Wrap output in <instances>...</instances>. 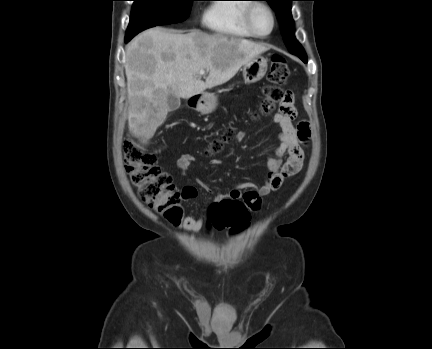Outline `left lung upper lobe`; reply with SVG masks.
<instances>
[{
    "mask_svg": "<svg viewBox=\"0 0 432 349\" xmlns=\"http://www.w3.org/2000/svg\"><path fill=\"white\" fill-rule=\"evenodd\" d=\"M269 3L280 23L284 43L290 53L301 59H307L306 53L294 35V21L291 15V2L294 0H265Z\"/></svg>",
    "mask_w": 432,
    "mask_h": 349,
    "instance_id": "left-lung-upper-lobe-1",
    "label": "left lung upper lobe"
}]
</instances>
